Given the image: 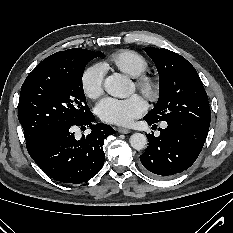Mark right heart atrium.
<instances>
[{"instance_id": "d8ad5b80", "label": "right heart atrium", "mask_w": 233, "mask_h": 233, "mask_svg": "<svg viewBox=\"0 0 233 233\" xmlns=\"http://www.w3.org/2000/svg\"><path fill=\"white\" fill-rule=\"evenodd\" d=\"M105 70L100 65L88 67L81 76V87L85 95L96 99L104 91Z\"/></svg>"}]
</instances>
